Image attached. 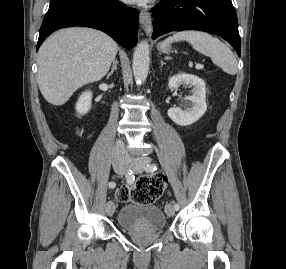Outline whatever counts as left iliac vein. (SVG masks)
Wrapping results in <instances>:
<instances>
[{"label": "left iliac vein", "mask_w": 286, "mask_h": 269, "mask_svg": "<svg viewBox=\"0 0 286 269\" xmlns=\"http://www.w3.org/2000/svg\"><path fill=\"white\" fill-rule=\"evenodd\" d=\"M130 162L134 172L139 173L143 171L145 165L150 163V158L148 157L132 158ZM165 212L169 217H172L175 214V210L171 204H167L165 206Z\"/></svg>", "instance_id": "obj_1"}]
</instances>
